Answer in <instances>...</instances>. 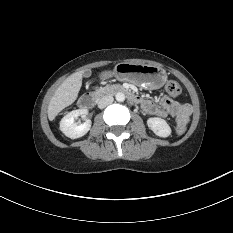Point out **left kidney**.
<instances>
[{"instance_id": "obj_1", "label": "left kidney", "mask_w": 233, "mask_h": 233, "mask_svg": "<svg viewBox=\"0 0 233 233\" xmlns=\"http://www.w3.org/2000/svg\"><path fill=\"white\" fill-rule=\"evenodd\" d=\"M147 125L159 137L166 138L171 135V128L164 119L157 117L149 118Z\"/></svg>"}]
</instances>
